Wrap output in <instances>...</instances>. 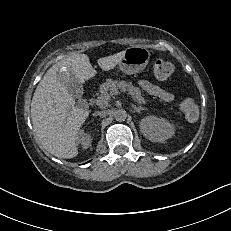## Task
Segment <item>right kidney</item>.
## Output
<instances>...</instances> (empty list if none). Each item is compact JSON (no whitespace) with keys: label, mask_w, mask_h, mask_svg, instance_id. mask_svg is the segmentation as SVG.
Listing matches in <instances>:
<instances>
[{"label":"right kidney","mask_w":231,"mask_h":231,"mask_svg":"<svg viewBox=\"0 0 231 231\" xmlns=\"http://www.w3.org/2000/svg\"><path fill=\"white\" fill-rule=\"evenodd\" d=\"M78 143L81 144L83 149H87L91 145V136L83 130L78 134Z\"/></svg>","instance_id":"1"}]
</instances>
